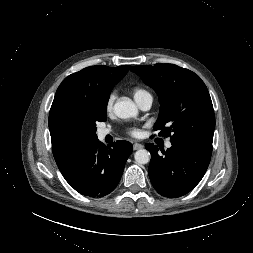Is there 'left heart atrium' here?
Segmentation results:
<instances>
[{"label":"left heart atrium","instance_id":"obj_1","mask_svg":"<svg viewBox=\"0 0 253 253\" xmlns=\"http://www.w3.org/2000/svg\"><path fill=\"white\" fill-rule=\"evenodd\" d=\"M128 133L133 137H138L140 135L139 129L136 128L128 130Z\"/></svg>","mask_w":253,"mask_h":253}]
</instances>
